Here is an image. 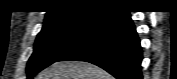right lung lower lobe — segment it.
Masks as SVG:
<instances>
[{
    "label": "right lung lower lobe",
    "mask_w": 177,
    "mask_h": 79,
    "mask_svg": "<svg viewBox=\"0 0 177 79\" xmlns=\"http://www.w3.org/2000/svg\"><path fill=\"white\" fill-rule=\"evenodd\" d=\"M57 61L93 63L117 79H142V50L129 12L113 10Z\"/></svg>",
    "instance_id": "right-lung-lower-lobe-1"
}]
</instances>
